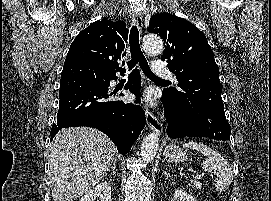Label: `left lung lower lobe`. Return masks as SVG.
<instances>
[{
    "mask_svg": "<svg viewBox=\"0 0 271 201\" xmlns=\"http://www.w3.org/2000/svg\"><path fill=\"white\" fill-rule=\"evenodd\" d=\"M161 100L168 123L167 134L170 138L207 137L189 118L181 115L177 105L165 91Z\"/></svg>",
    "mask_w": 271,
    "mask_h": 201,
    "instance_id": "1",
    "label": "left lung lower lobe"
}]
</instances>
